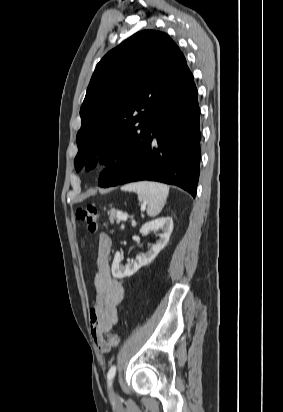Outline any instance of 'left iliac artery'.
<instances>
[{
    "label": "left iliac artery",
    "mask_w": 283,
    "mask_h": 412,
    "mask_svg": "<svg viewBox=\"0 0 283 412\" xmlns=\"http://www.w3.org/2000/svg\"><path fill=\"white\" fill-rule=\"evenodd\" d=\"M115 374H116V366H112V367L109 369L108 374H107L108 387H109V388L111 387L112 380H113V378L115 377Z\"/></svg>",
    "instance_id": "obj_1"
}]
</instances>
